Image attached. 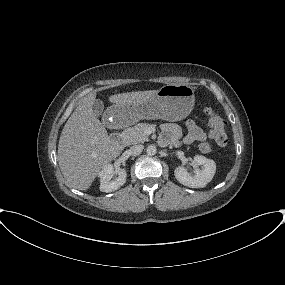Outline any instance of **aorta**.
<instances>
[{
    "label": "aorta",
    "instance_id": "762f6f07",
    "mask_svg": "<svg viewBox=\"0 0 285 285\" xmlns=\"http://www.w3.org/2000/svg\"><path fill=\"white\" fill-rule=\"evenodd\" d=\"M156 151H157V149H156V147L154 145H149L147 147V149H146L147 154L150 155V156L155 155Z\"/></svg>",
    "mask_w": 285,
    "mask_h": 285
}]
</instances>
